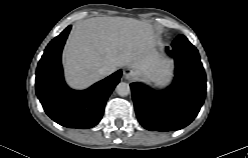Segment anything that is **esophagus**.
Here are the masks:
<instances>
[{
  "mask_svg": "<svg viewBox=\"0 0 248 158\" xmlns=\"http://www.w3.org/2000/svg\"><path fill=\"white\" fill-rule=\"evenodd\" d=\"M123 75H124L125 79L133 80L135 78L136 73L132 69H125L123 72Z\"/></svg>",
  "mask_w": 248,
  "mask_h": 158,
  "instance_id": "34e87169",
  "label": "esophagus"
}]
</instances>
